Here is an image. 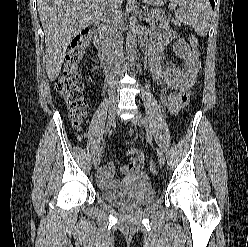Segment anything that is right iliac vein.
<instances>
[{"label": "right iliac vein", "mask_w": 248, "mask_h": 247, "mask_svg": "<svg viewBox=\"0 0 248 247\" xmlns=\"http://www.w3.org/2000/svg\"><path fill=\"white\" fill-rule=\"evenodd\" d=\"M116 104H117V98H112L110 100V109H109V119H114V113L116 109ZM101 157H102V147L98 149L96 152L93 163L95 168H97L101 162Z\"/></svg>", "instance_id": "right-iliac-vein-1"}]
</instances>
